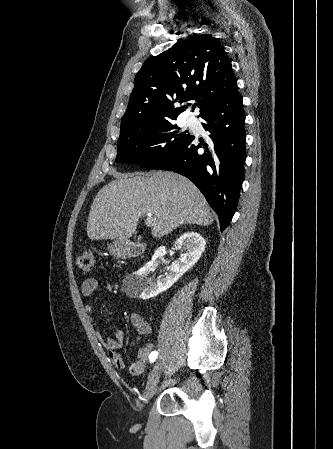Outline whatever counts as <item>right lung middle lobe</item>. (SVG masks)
Wrapping results in <instances>:
<instances>
[{"mask_svg": "<svg viewBox=\"0 0 333 449\" xmlns=\"http://www.w3.org/2000/svg\"><path fill=\"white\" fill-rule=\"evenodd\" d=\"M192 136L182 132L172 121L160 124L145 133L118 141L116 162L155 168Z\"/></svg>", "mask_w": 333, "mask_h": 449, "instance_id": "1", "label": "right lung middle lobe"}]
</instances>
